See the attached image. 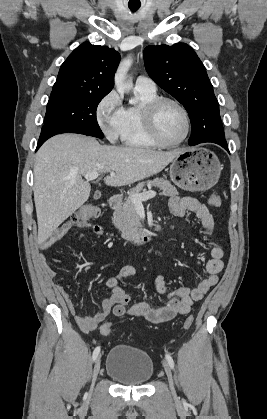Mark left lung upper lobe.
Masks as SVG:
<instances>
[{"label":"left lung upper lobe","mask_w":267,"mask_h":419,"mask_svg":"<svg viewBox=\"0 0 267 419\" xmlns=\"http://www.w3.org/2000/svg\"><path fill=\"white\" fill-rule=\"evenodd\" d=\"M143 55L149 76L187 110L191 135L209 130L218 140H225L213 86L194 50L185 43H177L147 46Z\"/></svg>","instance_id":"1"}]
</instances>
